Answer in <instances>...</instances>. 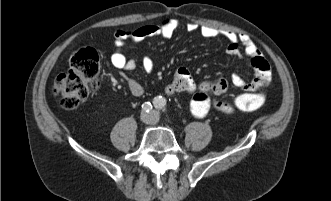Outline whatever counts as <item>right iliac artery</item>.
I'll return each instance as SVG.
<instances>
[{"label": "right iliac artery", "mask_w": 331, "mask_h": 201, "mask_svg": "<svg viewBox=\"0 0 331 201\" xmlns=\"http://www.w3.org/2000/svg\"><path fill=\"white\" fill-rule=\"evenodd\" d=\"M142 108L144 111L146 112H150L151 109H152V104L150 102H145L143 105H142Z\"/></svg>", "instance_id": "right-iliac-artery-1"}]
</instances>
